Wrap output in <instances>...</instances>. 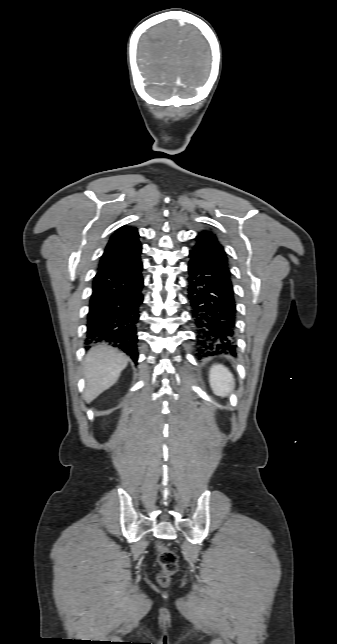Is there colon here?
I'll return each instance as SVG.
<instances>
[{"label": "colon", "instance_id": "colon-1", "mask_svg": "<svg viewBox=\"0 0 337 644\" xmlns=\"http://www.w3.org/2000/svg\"><path fill=\"white\" fill-rule=\"evenodd\" d=\"M156 548L158 551V562L162 568L159 581L162 584H167L169 577L177 570V556L160 541L156 543Z\"/></svg>", "mask_w": 337, "mask_h": 644}]
</instances>
